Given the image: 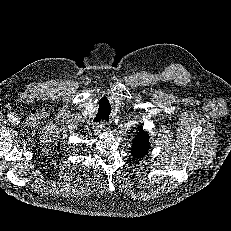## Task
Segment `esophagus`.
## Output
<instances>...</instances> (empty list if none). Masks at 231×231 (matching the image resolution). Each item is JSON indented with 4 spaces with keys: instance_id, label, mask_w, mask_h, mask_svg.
Wrapping results in <instances>:
<instances>
[{
    "instance_id": "1",
    "label": "esophagus",
    "mask_w": 231,
    "mask_h": 231,
    "mask_svg": "<svg viewBox=\"0 0 231 231\" xmlns=\"http://www.w3.org/2000/svg\"><path fill=\"white\" fill-rule=\"evenodd\" d=\"M109 129V124L107 121L103 120L100 121L99 125L97 126V131L101 132V131H105Z\"/></svg>"
}]
</instances>
